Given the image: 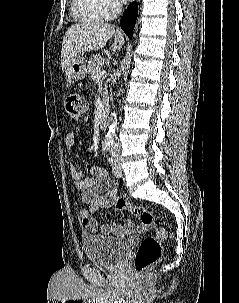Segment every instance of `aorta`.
Wrapping results in <instances>:
<instances>
[{"instance_id":"762f6f07","label":"aorta","mask_w":239,"mask_h":303,"mask_svg":"<svg viewBox=\"0 0 239 303\" xmlns=\"http://www.w3.org/2000/svg\"><path fill=\"white\" fill-rule=\"evenodd\" d=\"M108 124H109V128H108V132L106 135V139L113 140V138L115 136V130H116L117 124H118L117 113H115V112L111 113V115L108 119Z\"/></svg>"}]
</instances>
